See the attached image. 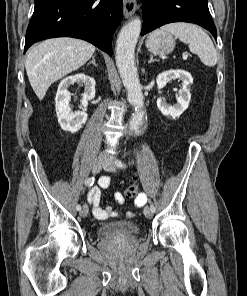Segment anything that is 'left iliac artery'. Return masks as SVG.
<instances>
[{
  "label": "left iliac artery",
  "mask_w": 247,
  "mask_h": 296,
  "mask_svg": "<svg viewBox=\"0 0 247 296\" xmlns=\"http://www.w3.org/2000/svg\"><path fill=\"white\" fill-rule=\"evenodd\" d=\"M115 164L118 168H125V165L118 159L115 161ZM150 209L152 210V212H155V207L153 204H151Z\"/></svg>",
  "instance_id": "1"
}]
</instances>
